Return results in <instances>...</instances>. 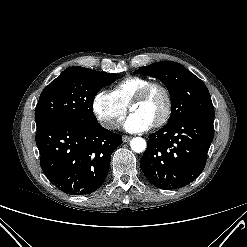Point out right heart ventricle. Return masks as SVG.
<instances>
[{
  "mask_svg": "<svg viewBox=\"0 0 247 247\" xmlns=\"http://www.w3.org/2000/svg\"><path fill=\"white\" fill-rule=\"evenodd\" d=\"M150 80L139 76H129L118 82L112 94L119 103L127 107L132 98L147 84Z\"/></svg>",
  "mask_w": 247,
  "mask_h": 247,
  "instance_id": "e07e8e85",
  "label": "right heart ventricle"
}]
</instances>
